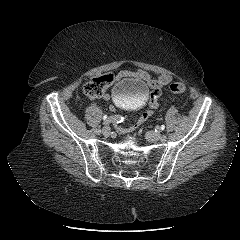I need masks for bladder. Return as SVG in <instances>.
Segmentation results:
<instances>
[{"mask_svg": "<svg viewBox=\"0 0 240 240\" xmlns=\"http://www.w3.org/2000/svg\"><path fill=\"white\" fill-rule=\"evenodd\" d=\"M148 89L142 81L124 78L113 87L112 94L116 103L127 109L137 108L145 99Z\"/></svg>", "mask_w": 240, "mask_h": 240, "instance_id": "bladder-1", "label": "bladder"}]
</instances>
